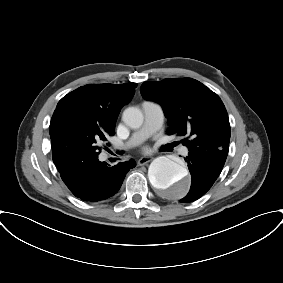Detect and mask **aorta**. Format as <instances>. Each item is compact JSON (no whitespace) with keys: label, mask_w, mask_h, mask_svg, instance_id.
<instances>
[{"label":"aorta","mask_w":283,"mask_h":283,"mask_svg":"<svg viewBox=\"0 0 283 283\" xmlns=\"http://www.w3.org/2000/svg\"><path fill=\"white\" fill-rule=\"evenodd\" d=\"M124 123L131 128H139L143 124V114L136 107H128L122 115ZM149 181L159 190H169L170 195L179 199L189 190V177L186 168L168 156L155 158L148 169Z\"/></svg>","instance_id":"aorta-1"}]
</instances>
